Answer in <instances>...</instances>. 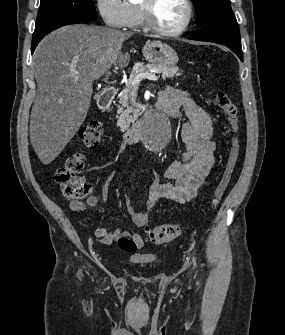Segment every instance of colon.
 Instances as JSON below:
<instances>
[{
	"label": "colon",
	"mask_w": 285,
	"mask_h": 335,
	"mask_svg": "<svg viewBox=\"0 0 285 335\" xmlns=\"http://www.w3.org/2000/svg\"><path fill=\"white\" fill-rule=\"evenodd\" d=\"M215 102L229 122L232 138L225 168L213 193V207L219 205L227 190L240 152L237 105L227 93L222 91L216 93ZM102 132L101 122L92 120L80 128L78 135L86 149H94L100 142ZM83 168L82 156L77 153L67 159L65 165L56 172V181L61 186L63 193L71 199H82L91 191V185L81 176ZM181 231V226L178 224H163L149 230V239L155 244H165L176 239ZM117 243L119 248L125 252H134L138 247L135 240L129 235L120 236Z\"/></svg>",
	"instance_id": "obj_1"
}]
</instances>
